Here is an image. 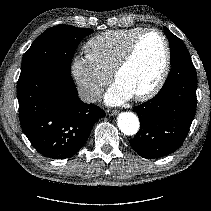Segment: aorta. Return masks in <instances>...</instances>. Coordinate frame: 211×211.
<instances>
[{
    "label": "aorta",
    "instance_id": "1",
    "mask_svg": "<svg viewBox=\"0 0 211 211\" xmlns=\"http://www.w3.org/2000/svg\"><path fill=\"white\" fill-rule=\"evenodd\" d=\"M118 127L123 134L134 135L139 130V119L132 112H122L118 116Z\"/></svg>",
    "mask_w": 211,
    "mask_h": 211
}]
</instances>
